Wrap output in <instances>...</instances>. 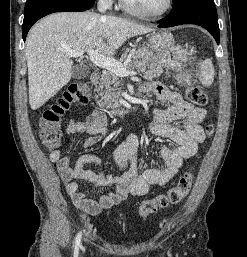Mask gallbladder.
Listing matches in <instances>:
<instances>
[{
  "label": "gallbladder",
  "instance_id": "gallbladder-1",
  "mask_svg": "<svg viewBox=\"0 0 247 257\" xmlns=\"http://www.w3.org/2000/svg\"><path fill=\"white\" fill-rule=\"evenodd\" d=\"M90 74V69L84 64L75 65L72 68V77L75 79L86 78Z\"/></svg>",
  "mask_w": 247,
  "mask_h": 257
}]
</instances>
